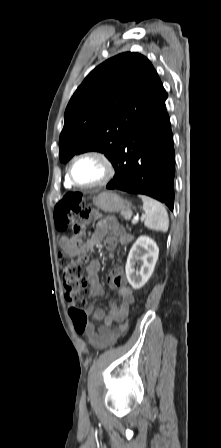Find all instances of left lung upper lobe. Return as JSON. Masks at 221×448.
<instances>
[{"label": "left lung upper lobe", "mask_w": 221, "mask_h": 448, "mask_svg": "<svg viewBox=\"0 0 221 448\" xmlns=\"http://www.w3.org/2000/svg\"><path fill=\"white\" fill-rule=\"evenodd\" d=\"M165 92L150 61L125 52L92 70L70 99L60 134V160L99 151L112 162L145 109Z\"/></svg>", "instance_id": "5c2ea615"}]
</instances>
